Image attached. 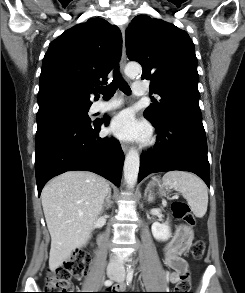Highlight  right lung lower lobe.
<instances>
[{
  "label": "right lung lower lobe",
  "mask_w": 245,
  "mask_h": 293,
  "mask_svg": "<svg viewBox=\"0 0 245 293\" xmlns=\"http://www.w3.org/2000/svg\"><path fill=\"white\" fill-rule=\"evenodd\" d=\"M102 123L108 125L109 119L62 124L36 138L39 196L51 178L73 170L91 171L120 185L124 154L116 139L98 136Z\"/></svg>",
  "instance_id": "right-lung-lower-lobe-1"
}]
</instances>
